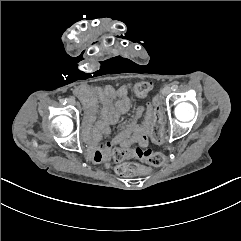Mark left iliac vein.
<instances>
[{"label": "left iliac vein", "instance_id": "left-iliac-vein-1", "mask_svg": "<svg viewBox=\"0 0 241 241\" xmlns=\"http://www.w3.org/2000/svg\"><path fill=\"white\" fill-rule=\"evenodd\" d=\"M171 89L169 85H165L162 90V96L165 97L170 93Z\"/></svg>", "mask_w": 241, "mask_h": 241}]
</instances>
